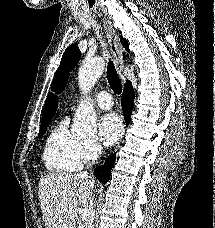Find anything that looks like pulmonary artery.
<instances>
[{
    "instance_id": "obj_1",
    "label": "pulmonary artery",
    "mask_w": 215,
    "mask_h": 228,
    "mask_svg": "<svg viewBox=\"0 0 215 228\" xmlns=\"http://www.w3.org/2000/svg\"><path fill=\"white\" fill-rule=\"evenodd\" d=\"M93 100L102 109H110L113 106L112 97L108 92L97 93Z\"/></svg>"
}]
</instances>
